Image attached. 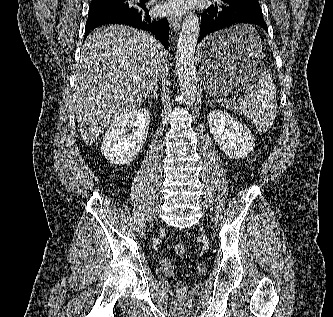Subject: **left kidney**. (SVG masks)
Here are the masks:
<instances>
[{
  "label": "left kidney",
  "mask_w": 333,
  "mask_h": 317,
  "mask_svg": "<svg viewBox=\"0 0 333 317\" xmlns=\"http://www.w3.org/2000/svg\"><path fill=\"white\" fill-rule=\"evenodd\" d=\"M207 119L216 144L228 157L245 158L254 150L256 144L251 131L226 111H210Z\"/></svg>",
  "instance_id": "left-kidney-1"
}]
</instances>
